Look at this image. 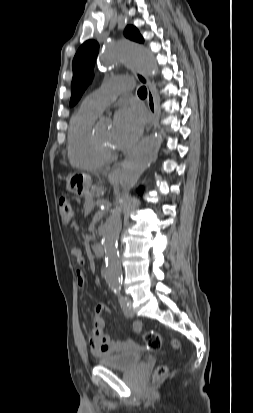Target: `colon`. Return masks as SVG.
<instances>
[{
  "label": "colon",
  "mask_w": 253,
  "mask_h": 413,
  "mask_svg": "<svg viewBox=\"0 0 253 413\" xmlns=\"http://www.w3.org/2000/svg\"><path fill=\"white\" fill-rule=\"evenodd\" d=\"M59 211H60V216L65 223H69L73 220L74 209H73L71 202L67 198H64V197L60 198ZM142 338L146 346L153 350L159 349L164 342L163 336L154 331L145 332L142 335ZM170 344L172 348L174 349L179 348V341L177 339H172L170 341ZM166 372H167V368L161 365L155 370L154 378L160 379L166 374Z\"/></svg>",
  "instance_id": "5ec220e1"
}]
</instances>
